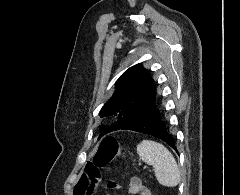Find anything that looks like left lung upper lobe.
I'll return each mask as SVG.
<instances>
[{
	"mask_svg": "<svg viewBox=\"0 0 240 195\" xmlns=\"http://www.w3.org/2000/svg\"><path fill=\"white\" fill-rule=\"evenodd\" d=\"M115 86V92L99 114L101 117L115 115L117 121L110 126L101 125L99 128L103 132L100 137L122 129L156 96V84L141 63L127 69L116 81Z\"/></svg>",
	"mask_w": 240,
	"mask_h": 195,
	"instance_id": "1",
	"label": "left lung upper lobe"
}]
</instances>
